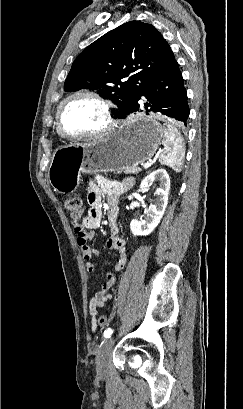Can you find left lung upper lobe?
I'll list each match as a JSON object with an SVG mask.
<instances>
[{
    "instance_id": "obj_1",
    "label": "left lung upper lobe",
    "mask_w": 243,
    "mask_h": 409,
    "mask_svg": "<svg viewBox=\"0 0 243 409\" xmlns=\"http://www.w3.org/2000/svg\"><path fill=\"white\" fill-rule=\"evenodd\" d=\"M175 62L153 25L130 21L107 32L75 59L64 89L90 86L114 101L115 117L124 118L146 84ZM124 78L128 79L122 82Z\"/></svg>"
}]
</instances>
